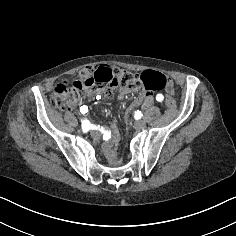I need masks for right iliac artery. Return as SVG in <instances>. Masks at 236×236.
Here are the masks:
<instances>
[{"label": "right iliac artery", "instance_id": "1", "mask_svg": "<svg viewBox=\"0 0 236 236\" xmlns=\"http://www.w3.org/2000/svg\"><path fill=\"white\" fill-rule=\"evenodd\" d=\"M81 122H82V130H83V132L87 133L90 130V127H91L90 122L87 119H85V120H83Z\"/></svg>", "mask_w": 236, "mask_h": 236}]
</instances>
